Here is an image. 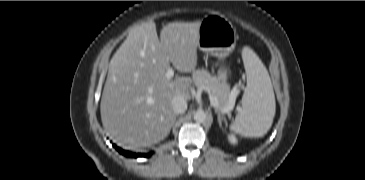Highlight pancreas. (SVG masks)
<instances>
[{
  "instance_id": "obj_1",
  "label": "pancreas",
  "mask_w": 365,
  "mask_h": 180,
  "mask_svg": "<svg viewBox=\"0 0 365 180\" xmlns=\"http://www.w3.org/2000/svg\"><path fill=\"white\" fill-rule=\"evenodd\" d=\"M192 78L198 89L207 91L217 98L220 108L234 105V100L230 98L228 85L221 83L216 77L211 76L207 70L199 69L194 71Z\"/></svg>"
}]
</instances>
